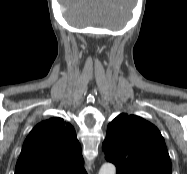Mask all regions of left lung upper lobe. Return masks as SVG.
I'll return each instance as SVG.
<instances>
[{
	"instance_id": "left-lung-upper-lobe-1",
	"label": "left lung upper lobe",
	"mask_w": 187,
	"mask_h": 174,
	"mask_svg": "<svg viewBox=\"0 0 187 174\" xmlns=\"http://www.w3.org/2000/svg\"><path fill=\"white\" fill-rule=\"evenodd\" d=\"M117 174H171V161L159 130L141 117L120 114L108 125L102 145Z\"/></svg>"
}]
</instances>
